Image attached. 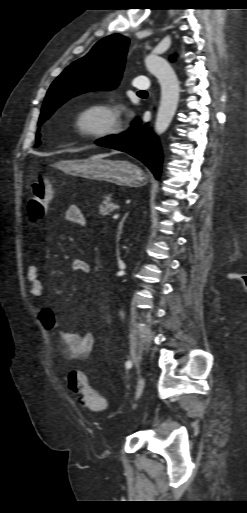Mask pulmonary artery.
<instances>
[{"instance_id": "obj_1", "label": "pulmonary artery", "mask_w": 247, "mask_h": 513, "mask_svg": "<svg viewBox=\"0 0 247 513\" xmlns=\"http://www.w3.org/2000/svg\"><path fill=\"white\" fill-rule=\"evenodd\" d=\"M149 81L146 77H138L135 82H134V87L137 89V90H146L149 88Z\"/></svg>"}]
</instances>
